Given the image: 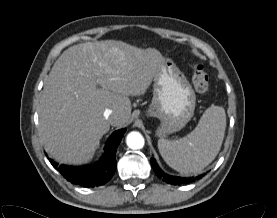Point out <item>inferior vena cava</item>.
<instances>
[{
  "label": "inferior vena cava",
  "instance_id": "inferior-vena-cava-1",
  "mask_svg": "<svg viewBox=\"0 0 277 218\" xmlns=\"http://www.w3.org/2000/svg\"><path fill=\"white\" fill-rule=\"evenodd\" d=\"M104 117L108 120H110L113 117V112L111 109H106L104 111Z\"/></svg>",
  "mask_w": 277,
  "mask_h": 218
}]
</instances>
